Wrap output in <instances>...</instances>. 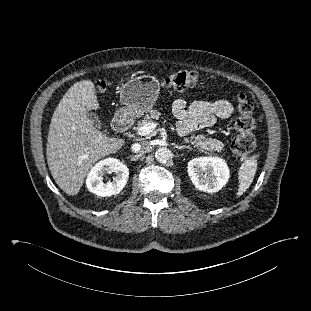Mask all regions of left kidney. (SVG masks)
Wrapping results in <instances>:
<instances>
[{
	"label": "left kidney",
	"mask_w": 311,
	"mask_h": 311,
	"mask_svg": "<svg viewBox=\"0 0 311 311\" xmlns=\"http://www.w3.org/2000/svg\"><path fill=\"white\" fill-rule=\"evenodd\" d=\"M188 174L195 187L204 192H217L227 183L230 173L219 157L194 158L188 163Z\"/></svg>",
	"instance_id": "obj_1"
}]
</instances>
